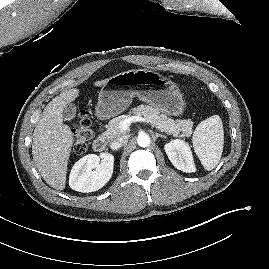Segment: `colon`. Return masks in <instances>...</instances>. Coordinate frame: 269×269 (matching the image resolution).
Instances as JSON below:
<instances>
[{
	"mask_svg": "<svg viewBox=\"0 0 269 269\" xmlns=\"http://www.w3.org/2000/svg\"><path fill=\"white\" fill-rule=\"evenodd\" d=\"M73 151L83 153L91 139V124L87 112L81 111L73 124Z\"/></svg>",
	"mask_w": 269,
	"mask_h": 269,
	"instance_id": "5ec220e1",
	"label": "colon"
}]
</instances>
